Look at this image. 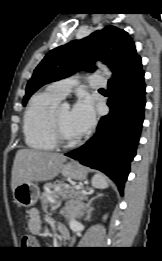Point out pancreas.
Here are the masks:
<instances>
[{"mask_svg":"<svg viewBox=\"0 0 162 261\" xmlns=\"http://www.w3.org/2000/svg\"><path fill=\"white\" fill-rule=\"evenodd\" d=\"M84 194L83 190H77L75 186H69L65 183L46 184L41 195L42 207L46 210L48 205L56 204L60 198L67 199L69 197L84 196Z\"/></svg>","mask_w":162,"mask_h":261,"instance_id":"obj_1","label":"pancreas"}]
</instances>
